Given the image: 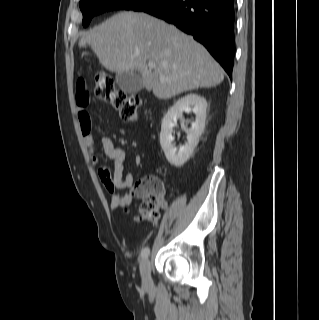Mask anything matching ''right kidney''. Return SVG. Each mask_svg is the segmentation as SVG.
<instances>
[{"label":"right kidney","instance_id":"obj_1","mask_svg":"<svg viewBox=\"0 0 319 320\" xmlns=\"http://www.w3.org/2000/svg\"><path fill=\"white\" fill-rule=\"evenodd\" d=\"M206 109V99L197 94L185 95L168 109L161 124L160 145L171 165L181 167L193 154L199 138L204 132ZM190 111H193L196 119L190 129H186L183 125V129L187 133V143L177 151L173 144V127L177 124L178 119L184 122L183 112L189 113Z\"/></svg>","mask_w":319,"mask_h":320}]
</instances>
